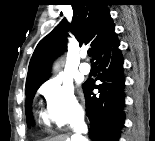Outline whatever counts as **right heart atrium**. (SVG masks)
Instances as JSON below:
<instances>
[{
	"mask_svg": "<svg viewBox=\"0 0 155 141\" xmlns=\"http://www.w3.org/2000/svg\"><path fill=\"white\" fill-rule=\"evenodd\" d=\"M44 98L47 118L58 127L77 123L82 108L71 83L61 77L46 81L39 89Z\"/></svg>",
	"mask_w": 155,
	"mask_h": 141,
	"instance_id": "right-heart-atrium-1",
	"label": "right heart atrium"
}]
</instances>
